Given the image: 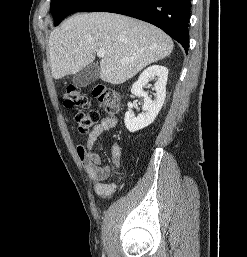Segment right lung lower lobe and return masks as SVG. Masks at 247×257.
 I'll list each match as a JSON object with an SVG mask.
<instances>
[{"label": "right lung lower lobe", "mask_w": 247, "mask_h": 257, "mask_svg": "<svg viewBox=\"0 0 247 257\" xmlns=\"http://www.w3.org/2000/svg\"><path fill=\"white\" fill-rule=\"evenodd\" d=\"M79 12H112L149 22L188 52L190 0H92Z\"/></svg>", "instance_id": "right-lung-lower-lobe-1"}]
</instances>
